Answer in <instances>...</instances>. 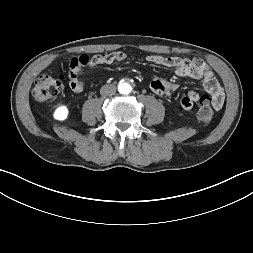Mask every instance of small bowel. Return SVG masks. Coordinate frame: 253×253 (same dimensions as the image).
<instances>
[{"label":"small bowel","mask_w":253,"mask_h":253,"mask_svg":"<svg viewBox=\"0 0 253 253\" xmlns=\"http://www.w3.org/2000/svg\"><path fill=\"white\" fill-rule=\"evenodd\" d=\"M101 56V55H99ZM112 61L102 63H112L113 61H122L126 58L122 52H115L109 54ZM104 57V56H101ZM78 59L83 62L84 66L89 63V58L86 55H81ZM76 60V57H73ZM149 63L156 64L163 67L175 68L177 75L182 77H192L203 81L206 90L212 95V106L219 110L224 104V92L214 77L211 69L200 59L186 60L177 57H162L158 55H150L146 58ZM92 61V60H91ZM100 63V64H102ZM90 64H92L90 62ZM99 65V64H98ZM151 90L158 96H167L171 94L176 88V84L171 83L163 76H153L150 82ZM199 99V94L191 90L181 101V108L184 111L193 112L195 110V102Z\"/></svg>","instance_id":"c3829d8e"}]
</instances>
